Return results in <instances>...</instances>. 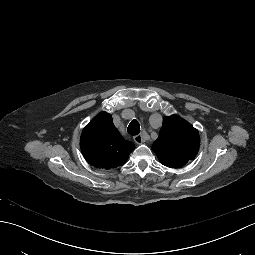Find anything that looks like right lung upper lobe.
Masks as SVG:
<instances>
[{
	"label": "right lung upper lobe",
	"mask_w": 255,
	"mask_h": 255,
	"mask_svg": "<svg viewBox=\"0 0 255 255\" xmlns=\"http://www.w3.org/2000/svg\"><path fill=\"white\" fill-rule=\"evenodd\" d=\"M80 147L86 161L95 168L111 169L123 165L135 145L120 135L110 114L99 113L84 128Z\"/></svg>",
	"instance_id": "cb5924a9"
}]
</instances>
